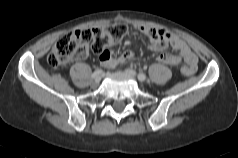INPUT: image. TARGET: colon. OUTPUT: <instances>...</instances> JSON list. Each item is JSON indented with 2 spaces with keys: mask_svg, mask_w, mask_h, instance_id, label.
I'll list each match as a JSON object with an SVG mask.
<instances>
[{
  "mask_svg": "<svg viewBox=\"0 0 238 158\" xmlns=\"http://www.w3.org/2000/svg\"><path fill=\"white\" fill-rule=\"evenodd\" d=\"M126 32L127 29L123 25H111L64 34L49 53L48 63L52 68L58 69L74 58L84 57L88 50L102 54L109 45L118 42ZM180 70L183 76L189 77L195 73L196 67L182 64Z\"/></svg>",
  "mask_w": 238,
  "mask_h": 158,
  "instance_id": "1",
  "label": "colon"
}]
</instances>
